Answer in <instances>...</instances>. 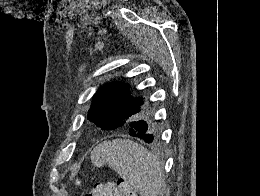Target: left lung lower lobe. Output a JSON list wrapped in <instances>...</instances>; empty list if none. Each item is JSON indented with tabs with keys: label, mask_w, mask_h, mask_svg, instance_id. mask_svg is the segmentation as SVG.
<instances>
[{
	"label": "left lung lower lobe",
	"mask_w": 260,
	"mask_h": 196,
	"mask_svg": "<svg viewBox=\"0 0 260 196\" xmlns=\"http://www.w3.org/2000/svg\"><path fill=\"white\" fill-rule=\"evenodd\" d=\"M134 111L129 107H111L107 112H105L98 120L105 124H121L132 116ZM130 135L133 137H138L146 143H151L153 141V136L149 132L148 127L141 124H131Z\"/></svg>",
	"instance_id": "obj_1"
}]
</instances>
